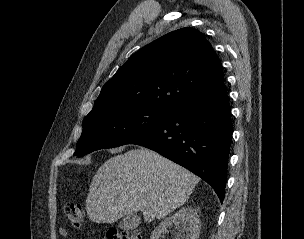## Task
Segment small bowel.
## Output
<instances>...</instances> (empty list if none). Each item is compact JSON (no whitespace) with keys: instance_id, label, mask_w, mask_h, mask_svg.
Instances as JSON below:
<instances>
[{"instance_id":"1","label":"small bowel","mask_w":304,"mask_h":239,"mask_svg":"<svg viewBox=\"0 0 304 239\" xmlns=\"http://www.w3.org/2000/svg\"><path fill=\"white\" fill-rule=\"evenodd\" d=\"M59 234H60V236H61L62 238H68V237H69V233H68L67 229L64 228V227H61V228L59 229Z\"/></svg>"}]
</instances>
